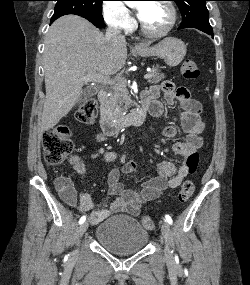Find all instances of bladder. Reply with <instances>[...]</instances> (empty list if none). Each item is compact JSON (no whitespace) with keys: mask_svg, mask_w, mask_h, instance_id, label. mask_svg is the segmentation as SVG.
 Segmentation results:
<instances>
[{"mask_svg":"<svg viewBox=\"0 0 250 285\" xmlns=\"http://www.w3.org/2000/svg\"><path fill=\"white\" fill-rule=\"evenodd\" d=\"M97 242L117 255L135 253L143 249L149 239L148 232L133 217L116 215L102 221L96 228Z\"/></svg>","mask_w":250,"mask_h":285,"instance_id":"obj_1","label":"bladder"}]
</instances>
